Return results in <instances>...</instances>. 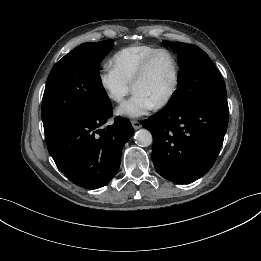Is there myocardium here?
Returning <instances> with one entry per match:
<instances>
[{
  "label": "myocardium",
  "mask_w": 261,
  "mask_h": 261,
  "mask_svg": "<svg viewBox=\"0 0 261 261\" xmlns=\"http://www.w3.org/2000/svg\"><path fill=\"white\" fill-rule=\"evenodd\" d=\"M161 53H165V54L169 55L170 58L172 59L173 66H174V76H173V82L170 87V90L168 91L166 96L155 105V108H157V109H161V108H164L165 106H167L171 102L173 97L175 96L177 89H178L179 79H180V66H179L178 58L175 55V53L167 48H158V49L154 50L153 52H151L142 62L137 74L135 75V77L131 83V87L133 89L137 83H139L141 80H143L149 71L152 61L154 60V58L157 55H159Z\"/></svg>",
  "instance_id": "myocardium-1"
}]
</instances>
